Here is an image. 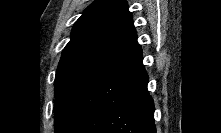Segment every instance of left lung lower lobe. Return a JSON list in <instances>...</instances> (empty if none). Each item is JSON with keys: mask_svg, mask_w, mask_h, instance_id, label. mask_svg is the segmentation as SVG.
<instances>
[{"mask_svg": "<svg viewBox=\"0 0 221 133\" xmlns=\"http://www.w3.org/2000/svg\"><path fill=\"white\" fill-rule=\"evenodd\" d=\"M147 83L137 45L83 90L55 133H156Z\"/></svg>", "mask_w": 221, "mask_h": 133, "instance_id": "obj_1", "label": "left lung lower lobe"}]
</instances>
